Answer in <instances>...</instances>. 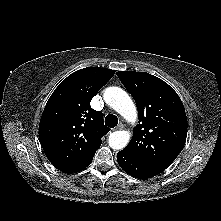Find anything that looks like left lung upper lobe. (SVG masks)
Instances as JSON below:
<instances>
[{
  "instance_id": "1",
  "label": "left lung upper lobe",
  "mask_w": 221,
  "mask_h": 221,
  "mask_svg": "<svg viewBox=\"0 0 221 221\" xmlns=\"http://www.w3.org/2000/svg\"><path fill=\"white\" fill-rule=\"evenodd\" d=\"M117 76L136 102L140 123L124 151L165 170L187 137L182 101L172 87L149 73L119 71Z\"/></svg>"
}]
</instances>
